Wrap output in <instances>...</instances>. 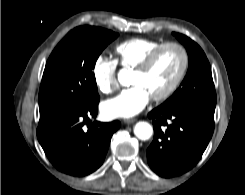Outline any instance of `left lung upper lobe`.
<instances>
[{"label":"left lung upper lobe","mask_w":245,"mask_h":195,"mask_svg":"<svg viewBox=\"0 0 245 195\" xmlns=\"http://www.w3.org/2000/svg\"><path fill=\"white\" fill-rule=\"evenodd\" d=\"M173 35L184 44L189 67L182 85L162 106L196 107L215 110L216 92L209 61L203 50L190 38L179 33Z\"/></svg>","instance_id":"obj_1"}]
</instances>
